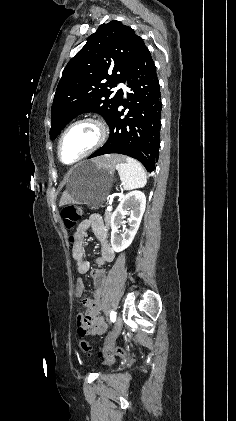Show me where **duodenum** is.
Returning <instances> with one entry per match:
<instances>
[{
  "instance_id": "410a0bca",
  "label": "duodenum",
  "mask_w": 236,
  "mask_h": 421,
  "mask_svg": "<svg viewBox=\"0 0 236 421\" xmlns=\"http://www.w3.org/2000/svg\"><path fill=\"white\" fill-rule=\"evenodd\" d=\"M114 259V251L110 247H103L102 255L97 259L99 265H104L111 262ZM93 277L97 283V289L95 291L94 300L90 302L92 305L91 319L88 321L84 319L83 327L88 333H96L95 314L99 311L103 305V279L105 277V271L102 269H95L93 271ZM89 318V317H86Z\"/></svg>"
}]
</instances>
